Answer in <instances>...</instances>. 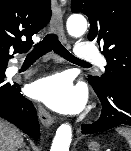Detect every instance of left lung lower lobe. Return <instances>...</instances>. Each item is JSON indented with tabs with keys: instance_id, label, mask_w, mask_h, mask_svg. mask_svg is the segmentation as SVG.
Listing matches in <instances>:
<instances>
[{
	"instance_id": "obj_1",
	"label": "left lung lower lobe",
	"mask_w": 131,
	"mask_h": 151,
	"mask_svg": "<svg viewBox=\"0 0 131 151\" xmlns=\"http://www.w3.org/2000/svg\"><path fill=\"white\" fill-rule=\"evenodd\" d=\"M95 92L102 103V113L96 122L82 125V134L103 132L118 126H131V94L97 89Z\"/></svg>"
}]
</instances>
